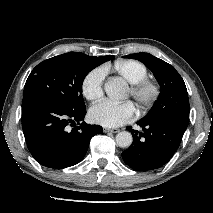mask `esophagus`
<instances>
[{
	"label": "esophagus",
	"instance_id": "esophagus-1",
	"mask_svg": "<svg viewBox=\"0 0 213 213\" xmlns=\"http://www.w3.org/2000/svg\"><path fill=\"white\" fill-rule=\"evenodd\" d=\"M104 132L105 133H108V132L117 133V132H119V129H117V128H104Z\"/></svg>",
	"mask_w": 213,
	"mask_h": 213
}]
</instances>
